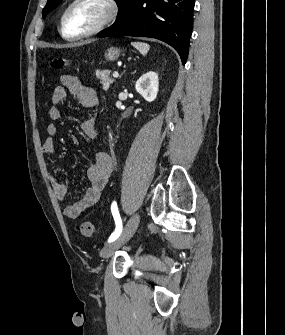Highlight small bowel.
<instances>
[{
	"label": "small bowel",
	"instance_id": "small-bowel-1",
	"mask_svg": "<svg viewBox=\"0 0 285 335\" xmlns=\"http://www.w3.org/2000/svg\"><path fill=\"white\" fill-rule=\"evenodd\" d=\"M67 92H70L77 99L79 104L89 111H94L99 105L96 91L93 88L83 85L75 76L68 74L62 75L61 85L54 89L51 97L49 117L52 122L47 125L46 132L48 137L42 145V152L46 156H52L55 151L54 137L59 131L56 121L62 116L60 105L65 100ZM81 130L83 134L90 139H96L98 137V129L93 116H89L83 120ZM113 169L114 164L112 158L105 152H98L86 171L87 179L90 182L89 187L80 200L72 204L64 205L63 214L67 218L75 219L83 211L93 206L99 200L101 192L106 186ZM50 183L57 200L60 202L65 201L67 195L66 185L58 181L54 176H50Z\"/></svg>",
	"mask_w": 285,
	"mask_h": 335
}]
</instances>
